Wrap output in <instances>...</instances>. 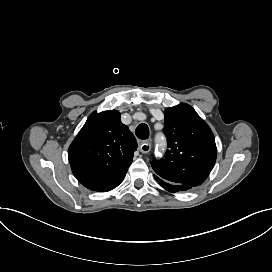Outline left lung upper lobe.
I'll return each mask as SVG.
<instances>
[{
	"mask_svg": "<svg viewBox=\"0 0 272 272\" xmlns=\"http://www.w3.org/2000/svg\"><path fill=\"white\" fill-rule=\"evenodd\" d=\"M164 133L168 150L154 160L152 168L160 178L179 185H200L216 161L214 135L206 122L188 104L165 110Z\"/></svg>",
	"mask_w": 272,
	"mask_h": 272,
	"instance_id": "5c2ea615",
	"label": "left lung upper lobe"
}]
</instances>
